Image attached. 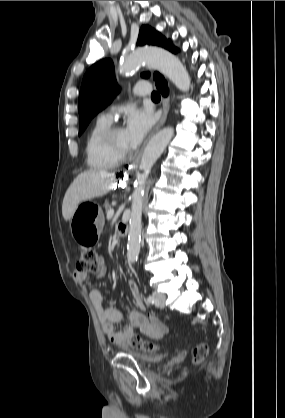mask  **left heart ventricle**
Masks as SVG:
<instances>
[{
  "label": "left heart ventricle",
  "mask_w": 285,
  "mask_h": 418,
  "mask_svg": "<svg viewBox=\"0 0 285 418\" xmlns=\"http://www.w3.org/2000/svg\"><path fill=\"white\" fill-rule=\"evenodd\" d=\"M114 144L119 149H126L129 147L128 136L124 128L119 127L114 133Z\"/></svg>",
  "instance_id": "1"
}]
</instances>
